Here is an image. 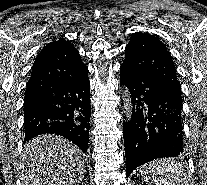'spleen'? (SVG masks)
I'll use <instances>...</instances> for the list:
<instances>
[{
  "instance_id": "obj_1",
  "label": "spleen",
  "mask_w": 207,
  "mask_h": 185,
  "mask_svg": "<svg viewBox=\"0 0 207 185\" xmlns=\"http://www.w3.org/2000/svg\"><path fill=\"white\" fill-rule=\"evenodd\" d=\"M137 177L146 178L150 185H185L188 174L178 159H151L148 166H136Z\"/></svg>"
}]
</instances>
